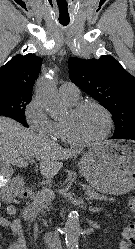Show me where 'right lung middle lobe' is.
<instances>
[{
    "instance_id": "1",
    "label": "right lung middle lobe",
    "mask_w": 135,
    "mask_h": 249,
    "mask_svg": "<svg viewBox=\"0 0 135 249\" xmlns=\"http://www.w3.org/2000/svg\"><path fill=\"white\" fill-rule=\"evenodd\" d=\"M31 98V95L0 93V115L11 117L28 126L24 111Z\"/></svg>"
}]
</instances>
